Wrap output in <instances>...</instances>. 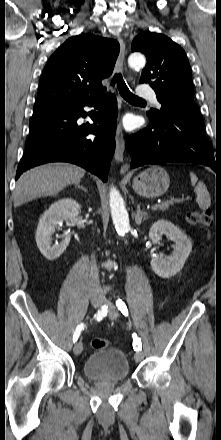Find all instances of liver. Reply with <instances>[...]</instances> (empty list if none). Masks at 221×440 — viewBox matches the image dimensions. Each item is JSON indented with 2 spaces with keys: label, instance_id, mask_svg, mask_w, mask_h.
Wrapping results in <instances>:
<instances>
[{
  "label": "liver",
  "instance_id": "obj_1",
  "mask_svg": "<svg viewBox=\"0 0 221 440\" xmlns=\"http://www.w3.org/2000/svg\"><path fill=\"white\" fill-rule=\"evenodd\" d=\"M85 170L68 163H52L21 175L14 191V206L39 197L54 196L67 185L79 183Z\"/></svg>",
  "mask_w": 221,
  "mask_h": 440
}]
</instances>
